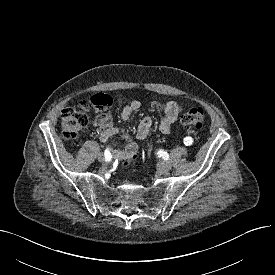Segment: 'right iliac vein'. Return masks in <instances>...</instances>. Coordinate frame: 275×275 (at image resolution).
<instances>
[{
	"mask_svg": "<svg viewBox=\"0 0 275 275\" xmlns=\"http://www.w3.org/2000/svg\"><path fill=\"white\" fill-rule=\"evenodd\" d=\"M98 160L101 162V163H104V164H107V161L105 160V157L102 153H99L98 154Z\"/></svg>",
	"mask_w": 275,
	"mask_h": 275,
	"instance_id": "1",
	"label": "right iliac vein"
}]
</instances>
